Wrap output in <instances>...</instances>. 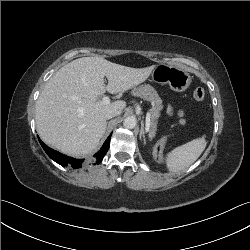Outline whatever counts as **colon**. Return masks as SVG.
Wrapping results in <instances>:
<instances>
[{"label":"colon","mask_w":250,"mask_h":250,"mask_svg":"<svg viewBox=\"0 0 250 250\" xmlns=\"http://www.w3.org/2000/svg\"><path fill=\"white\" fill-rule=\"evenodd\" d=\"M205 97V92L202 88H196L193 91V98L195 101H202ZM167 141V137H164L160 140L159 144H157L154 149L151 151V156L156 159L157 163L163 165L166 163L167 158L163 153L165 152V143Z\"/></svg>","instance_id":"obj_1"}]
</instances>
